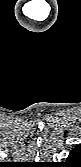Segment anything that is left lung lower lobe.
<instances>
[{
    "instance_id": "1",
    "label": "left lung lower lobe",
    "mask_w": 81,
    "mask_h": 167,
    "mask_svg": "<svg viewBox=\"0 0 81 167\" xmlns=\"http://www.w3.org/2000/svg\"><path fill=\"white\" fill-rule=\"evenodd\" d=\"M80 153V146H76L75 148H73L67 158V163L78 161L80 159Z\"/></svg>"
}]
</instances>
